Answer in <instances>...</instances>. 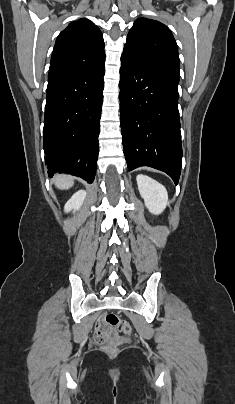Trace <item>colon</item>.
Wrapping results in <instances>:
<instances>
[{"label":"colon","instance_id":"1","mask_svg":"<svg viewBox=\"0 0 235 404\" xmlns=\"http://www.w3.org/2000/svg\"><path fill=\"white\" fill-rule=\"evenodd\" d=\"M115 332L128 335L131 334L132 327L128 322L120 320L116 314L106 313L103 318L102 327L99 326L95 331V338L99 342H104Z\"/></svg>","mask_w":235,"mask_h":404}]
</instances>
